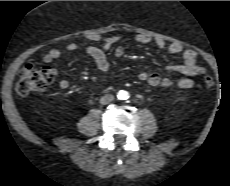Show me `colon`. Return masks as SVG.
Instances as JSON below:
<instances>
[{"mask_svg": "<svg viewBox=\"0 0 230 186\" xmlns=\"http://www.w3.org/2000/svg\"><path fill=\"white\" fill-rule=\"evenodd\" d=\"M56 70L48 66L26 65L19 76L15 85V92L21 97L42 91L47 88L54 80ZM204 86L208 89L213 88L214 80L205 73H198Z\"/></svg>", "mask_w": 230, "mask_h": 186, "instance_id": "1", "label": "colon"}]
</instances>
